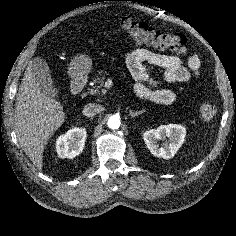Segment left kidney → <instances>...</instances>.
<instances>
[{"mask_svg":"<svg viewBox=\"0 0 236 236\" xmlns=\"http://www.w3.org/2000/svg\"><path fill=\"white\" fill-rule=\"evenodd\" d=\"M186 136V128L178 124L161 125L157 129L144 132L143 139L150 152L157 157L170 159L182 146ZM169 138L170 143L159 146V140Z\"/></svg>","mask_w":236,"mask_h":236,"instance_id":"5707ae66","label":"left kidney"}]
</instances>
